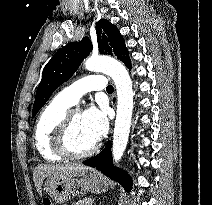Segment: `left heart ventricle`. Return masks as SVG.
<instances>
[{
	"label": "left heart ventricle",
	"mask_w": 212,
	"mask_h": 205,
	"mask_svg": "<svg viewBox=\"0 0 212 205\" xmlns=\"http://www.w3.org/2000/svg\"><path fill=\"white\" fill-rule=\"evenodd\" d=\"M95 141L86 131L82 123V115L73 112L71 116V126L69 132L70 147L77 152H81L90 148Z\"/></svg>",
	"instance_id": "obj_1"
}]
</instances>
